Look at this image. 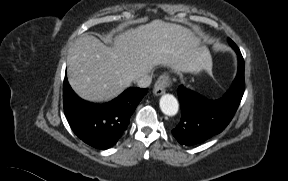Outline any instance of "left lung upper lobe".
<instances>
[{"instance_id": "5c2ea615", "label": "left lung upper lobe", "mask_w": 288, "mask_h": 181, "mask_svg": "<svg viewBox=\"0 0 288 181\" xmlns=\"http://www.w3.org/2000/svg\"><path fill=\"white\" fill-rule=\"evenodd\" d=\"M232 40H229V43L231 42ZM244 71V61L243 60H240L239 61V65H238V74L243 72Z\"/></svg>"}]
</instances>
